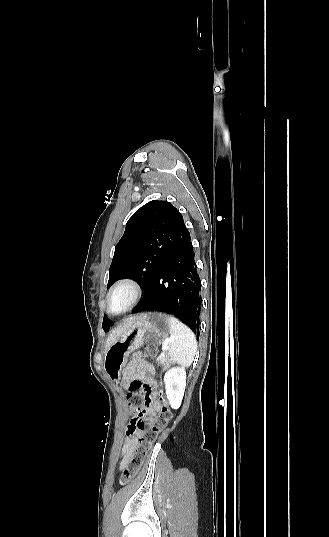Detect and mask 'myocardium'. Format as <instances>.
<instances>
[{
	"label": "myocardium",
	"mask_w": 329,
	"mask_h": 537,
	"mask_svg": "<svg viewBox=\"0 0 329 537\" xmlns=\"http://www.w3.org/2000/svg\"><path fill=\"white\" fill-rule=\"evenodd\" d=\"M121 287H128L132 290L133 292V299L131 301V303L129 304V306L124 309L123 311L121 312H114L112 311L111 309V306H110V299H111V296L112 294L117 291L119 288ZM141 296H142V288H141V285L135 280V279H132V278H123L119 281H117L110 289L109 291L107 292V295H106V308H107V311L109 313H111L112 315H122V314H125L127 312H129L131 309H133L136 304L139 302V300L141 299Z\"/></svg>",
	"instance_id": "obj_1"
}]
</instances>
